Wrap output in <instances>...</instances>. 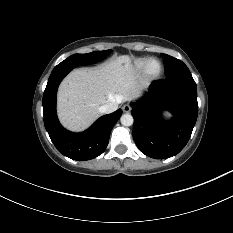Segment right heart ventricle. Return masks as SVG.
I'll list each match as a JSON object with an SVG mask.
<instances>
[{"label":"right heart ventricle","mask_w":233,"mask_h":233,"mask_svg":"<svg viewBox=\"0 0 233 233\" xmlns=\"http://www.w3.org/2000/svg\"><path fill=\"white\" fill-rule=\"evenodd\" d=\"M148 61V58H139L136 59L131 67L133 73H141L144 70L145 64Z\"/></svg>","instance_id":"1"}]
</instances>
